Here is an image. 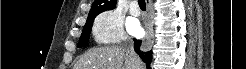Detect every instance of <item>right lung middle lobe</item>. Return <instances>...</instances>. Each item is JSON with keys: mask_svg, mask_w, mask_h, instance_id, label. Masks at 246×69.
I'll list each match as a JSON object with an SVG mask.
<instances>
[{"mask_svg": "<svg viewBox=\"0 0 246 69\" xmlns=\"http://www.w3.org/2000/svg\"><path fill=\"white\" fill-rule=\"evenodd\" d=\"M92 25H93V20L86 22L79 40L78 48L87 46Z\"/></svg>", "mask_w": 246, "mask_h": 69, "instance_id": "obj_1", "label": "right lung middle lobe"}]
</instances>
